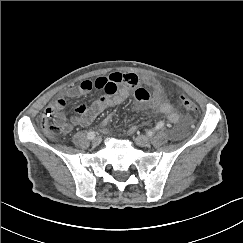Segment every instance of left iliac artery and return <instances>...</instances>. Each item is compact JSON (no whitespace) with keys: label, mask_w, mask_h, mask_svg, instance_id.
Returning a JSON list of instances; mask_svg holds the SVG:
<instances>
[{"label":"left iliac artery","mask_w":243,"mask_h":243,"mask_svg":"<svg viewBox=\"0 0 243 243\" xmlns=\"http://www.w3.org/2000/svg\"><path fill=\"white\" fill-rule=\"evenodd\" d=\"M164 127V123L162 121L158 122L157 125L155 126V128L153 130H149L147 132L148 136H153L154 133L160 129H162Z\"/></svg>","instance_id":"44dca946"}]
</instances>
